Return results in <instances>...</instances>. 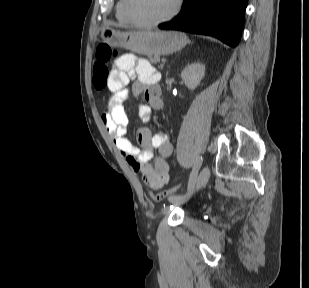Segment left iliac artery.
<instances>
[{
  "instance_id": "44dca946",
  "label": "left iliac artery",
  "mask_w": 309,
  "mask_h": 288,
  "mask_svg": "<svg viewBox=\"0 0 309 288\" xmlns=\"http://www.w3.org/2000/svg\"><path fill=\"white\" fill-rule=\"evenodd\" d=\"M202 161H203V159L199 158L198 161L196 162V164L194 165V168H193V170L190 174V178H189L187 194H190L191 191L194 189V186H195V183H196V177H197L198 171L201 167ZM185 196L186 195L172 196V197L169 198V201L176 200V199H179V198L185 197Z\"/></svg>"
}]
</instances>
